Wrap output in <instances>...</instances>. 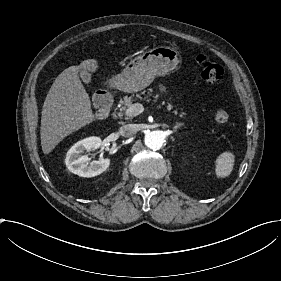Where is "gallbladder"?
Listing matches in <instances>:
<instances>
[{
	"label": "gallbladder",
	"mask_w": 281,
	"mask_h": 281,
	"mask_svg": "<svg viewBox=\"0 0 281 281\" xmlns=\"http://www.w3.org/2000/svg\"><path fill=\"white\" fill-rule=\"evenodd\" d=\"M80 76H81L83 82H89V80L91 78V75L86 71L81 72Z\"/></svg>",
	"instance_id": "1"
}]
</instances>
